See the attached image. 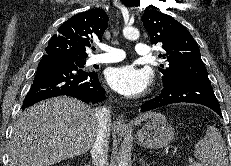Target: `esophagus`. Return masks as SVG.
<instances>
[{"label": "esophagus", "instance_id": "34e87169", "mask_svg": "<svg viewBox=\"0 0 231 166\" xmlns=\"http://www.w3.org/2000/svg\"><path fill=\"white\" fill-rule=\"evenodd\" d=\"M116 130L118 133H128L129 132V128L126 125L124 119L122 117H119L116 121Z\"/></svg>", "mask_w": 231, "mask_h": 166}]
</instances>
